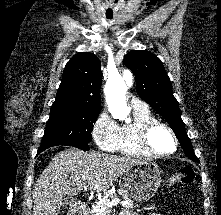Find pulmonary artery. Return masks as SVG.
<instances>
[{
  "label": "pulmonary artery",
  "mask_w": 221,
  "mask_h": 215,
  "mask_svg": "<svg viewBox=\"0 0 221 215\" xmlns=\"http://www.w3.org/2000/svg\"><path fill=\"white\" fill-rule=\"evenodd\" d=\"M130 103L133 109L147 108V105L138 98H132Z\"/></svg>",
  "instance_id": "pulmonary-artery-1"
}]
</instances>
